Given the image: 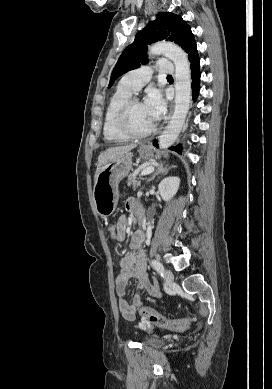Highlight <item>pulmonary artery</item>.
I'll use <instances>...</instances> for the list:
<instances>
[{"label": "pulmonary artery", "instance_id": "pulmonary-artery-1", "mask_svg": "<svg viewBox=\"0 0 272 389\" xmlns=\"http://www.w3.org/2000/svg\"><path fill=\"white\" fill-rule=\"evenodd\" d=\"M158 71L163 74L171 75L174 73L173 63L169 59L159 61ZM154 67L142 66L128 72L120 81V85L129 89L132 93H137L151 78Z\"/></svg>", "mask_w": 272, "mask_h": 389}]
</instances>
